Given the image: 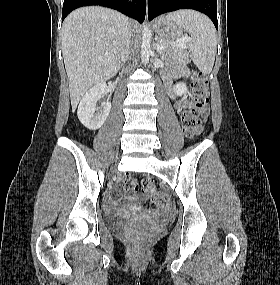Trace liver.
<instances>
[{
    "label": "liver",
    "instance_id": "1",
    "mask_svg": "<svg viewBox=\"0 0 280 285\" xmlns=\"http://www.w3.org/2000/svg\"><path fill=\"white\" fill-rule=\"evenodd\" d=\"M127 26L138 24L103 7H82L64 20L62 53L73 111L91 87L119 71Z\"/></svg>",
    "mask_w": 280,
    "mask_h": 285
}]
</instances>
